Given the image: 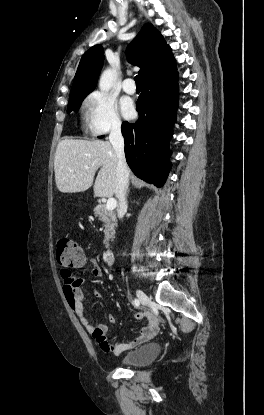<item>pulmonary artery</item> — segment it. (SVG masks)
<instances>
[{"label":"pulmonary artery","mask_w":264,"mask_h":415,"mask_svg":"<svg viewBox=\"0 0 264 415\" xmlns=\"http://www.w3.org/2000/svg\"><path fill=\"white\" fill-rule=\"evenodd\" d=\"M123 90L128 94H134L136 87L132 78H127L123 81L122 84Z\"/></svg>","instance_id":"e3ab8cb5"}]
</instances>
